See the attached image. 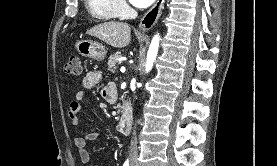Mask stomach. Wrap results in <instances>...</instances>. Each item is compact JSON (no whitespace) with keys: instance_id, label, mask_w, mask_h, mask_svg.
<instances>
[{"instance_id":"0dacf381","label":"stomach","mask_w":277,"mask_h":166,"mask_svg":"<svg viewBox=\"0 0 277 166\" xmlns=\"http://www.w3.org/2000/svg\"><path fill=\"white\" fill-rule=\"evenodd\" d=\"M75 49L84 57L92 58L97 61H102L106 57L107 50L106 48L92 40H78L75 43Z\"/></svg>"}]
</instances>
